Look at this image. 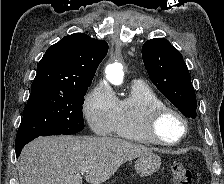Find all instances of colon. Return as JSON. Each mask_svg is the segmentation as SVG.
Wrapping results in <instances>:
<instances>
[{
	"instance_id": "obj_1",
	"label": "colon",
	"mask_w": 224,
	"mask_h": 184,
	"mask_svg": "<svg viewBox=\"0 0 224 184\" xmlns=\"http://www.w3.org/2000/svg\"><path fill=\"white\" fill-rule=\"evenodd\" d=\"M171 173L175 184H191L192 182L190 168L181 162H172Z\"/></svg>"
}]
</instances>
